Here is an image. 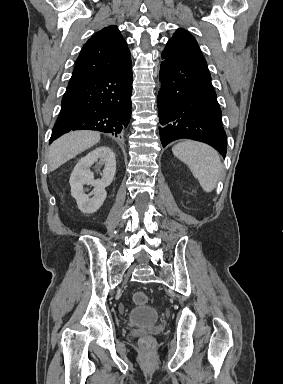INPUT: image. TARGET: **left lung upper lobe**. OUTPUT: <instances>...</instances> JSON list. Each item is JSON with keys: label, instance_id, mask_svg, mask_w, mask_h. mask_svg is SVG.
I'll list each match as a JSON object with an SVG mask.
<instances>
[{"label": "left lung upper lobe", "instance_id": "1", "mask_svg": "<svg viewBox=\"0 0 283 384\" xmlns=\"http://www.w3.org/2000/svg\"><path fill=\"white\" fill-rule=\"evenodd\" d=\"M168 42L176 44L182 48H185L191 52H194L200 56H202V52L198 46L197 41L195 38L186 30L179 29L175 32L172 39H170Z\"/></svg>", "mask_w": 283, "mask_h": 384}]
</instances>
